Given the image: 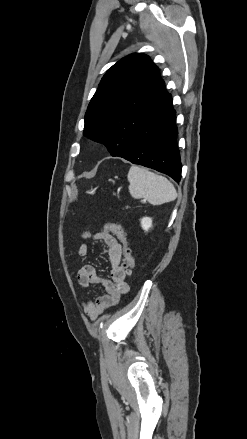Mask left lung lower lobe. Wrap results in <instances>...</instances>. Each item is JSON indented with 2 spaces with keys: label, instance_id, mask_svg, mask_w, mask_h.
<instances>
[{
  "label": "left lung lower lobe",
  "instance_id": "1",
  "mask_svg": "<svg viewBox=\"0 0 247 439\" xmlns=\"http://www.w3.org/2000/svg\"><path fill=\"white\" fill-rule=\"evenodd\" d=\"M176 116L170 96L138 130L134 141L122 158L172 177L181 178V163L176 136Z\"/></svg>",
  "mask_w": 247,
  "mask_h": 439
}]
</instances>
